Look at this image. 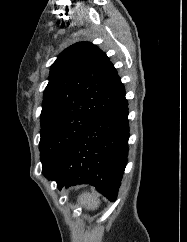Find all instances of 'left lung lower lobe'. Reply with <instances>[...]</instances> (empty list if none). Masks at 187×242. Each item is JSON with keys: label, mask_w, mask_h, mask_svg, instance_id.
Wrapping results in <instances>:
<instances>
[{"label": "left lung lower lobe", "mask_w": 187, "mask_h": 242, "mask_svg": "<svg viewBox=\"0 0 187 242\" xmlns=\"http://www.w3.org/2000/svg\"><path fill=\"white\" fill-rule=\"evenodd\" d=\"M128 103L125 95L97 119L62 163L46 175L58 189L90 184L115 201L128 156Z\"/></svg>", "instance_id": "left-lung-lower-lobe-1"}]
</instances>
